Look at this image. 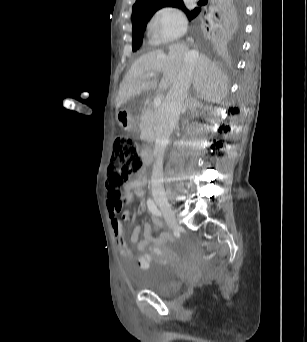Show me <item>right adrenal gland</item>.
I'll return each instance as SVG.
<instances>
[{"mask_svg":"<svg viewBox=\"0 0 307 342\" xmlns=\"http://www.w3.org/2000/svg\"><path fill=\"white\" fill-rule=\"evenodd\" d=\"M191 102H192V106H194V108H200V104H198V102H196V100H191ZM185 110H186V106H184V108L182 110L183 114H184Z\"/></svg>","mask_w":307,"mask_h":342,"instance_id":"2a0ac1e0","label":"right adrenal gland"}]
</instances>
